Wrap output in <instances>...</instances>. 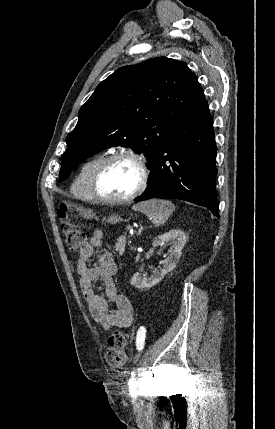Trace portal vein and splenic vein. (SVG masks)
<instances>
[{"mask_svg":"<svg viewBox=\"0 0 275 429\" xmlns=\"http://www.w3.org/2000/svg\"><path fill=\"white\" fill-rule=\"evenodd\" d=\"M128 229H130V234H133V231L131 230V228H130V227H128Z\"/></svg>","mask_w":275,"mask_h":429,"instance_id":"18ae733b","label":"portal vein and splenic vein"}]
</instances>
